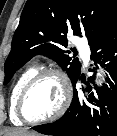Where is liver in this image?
<instances>
[{
    "label": "liver",
    "mask_w": 117,
    "mask_h": 136,
    "mask_svg": "<svg viewBox=\"0 0 117 136\" xmlns=\"http://www.w3.org/2000/svg\"><path fill=\"white\" fill-rule=\"evenodd\" d=\"M6 136H39V135L35 132H30L25 129H16L8 132Z\"/></svg>",
    "instance_id": "liver-1"
}]
</instances>
